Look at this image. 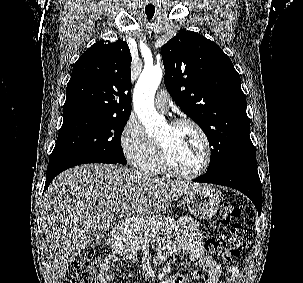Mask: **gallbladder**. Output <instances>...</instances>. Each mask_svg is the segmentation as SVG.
I'll list each match as a JSON object with an SVG mask.
<instances>
[{"label":"gallbladder","instance_id":"gallbladder-1","mask_svg":"<svg viewBox=\"0 0 303 283\" xmlns=\"http://www.w3.org/2000/svg\"><path fill=\"white\" fill-rule=\"evenodd\" d=\"M106 239V232L103 230H98L96 232H93L90 235V239H89V243L87 248H92L95 246H98L100 244H102Z\"/></svg>","mask_w":303,"mask_h":283}]
</instances>
